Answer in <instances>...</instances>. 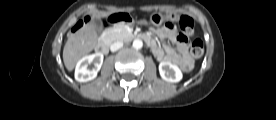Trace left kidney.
<instances>
[{
    "mask_svg": "<svg viewBox=\"0 0 276 120\" xmlns=\"http://www.w3.org/2000/svg\"><path fill=\"white\" fill-rule=\"evenodd\" d=\"M159 73L163 80L176 83L182 79V72L177 65L170 62H161L159 64Z\"/></svg>",
    "mask_w": 276,
    "mask_h": 120,
    "instance_id": "obj_1",
    "label": "left kidney"
}]
</instances>
